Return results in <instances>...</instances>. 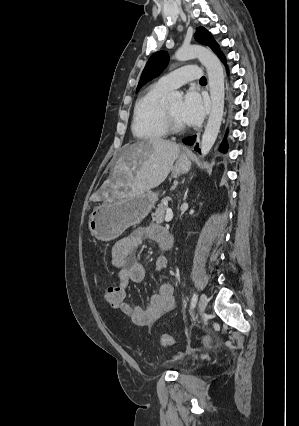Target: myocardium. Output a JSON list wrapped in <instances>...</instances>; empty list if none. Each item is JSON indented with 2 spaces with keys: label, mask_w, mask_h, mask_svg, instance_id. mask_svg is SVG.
<instances>
[{
  "label": "myocardium",
  "mask_w": 299,
  "mask_h": 426,
  "mask_svg": "<svg viewBox=\"0 0 299 426\" xmlns=\"http://www.w3.org/2000/svg\"><path fill=\"white\" fill-rule=\"evenodd\" d=\"M164 123L168 132L171 133H181L185 130V126L183 124L178 123L169 106V103L166 102L164 108Z\"/></svg>",
  "instance_id": "f54148a6"
}]
</instances>
